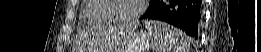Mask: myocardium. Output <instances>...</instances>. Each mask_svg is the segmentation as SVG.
<instances>
[{"label": "myocardium", "instance_id": "f54148a6", "mask_svg": "<svg viewBox=\"0 0 261 52\" xmlns=\"http://www.w3.org/2000/svg\"><path fill=\"white\" fill-rule=\"evenodd\" d=\"M145 6H146V1L140 0L138 9L132 15L128 16L127 18H114L111 15V10L113 7L112 0H105L104 12L109 17L111 23L132 24L136 20H138L140 16L143 14V12L145 11Z\"/></svg>", "mask_w": 261, "mask_h": 52}]
</instances>
